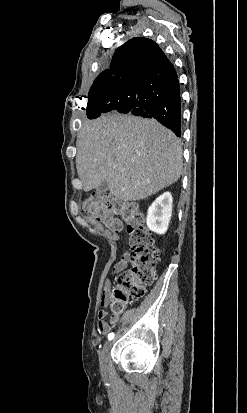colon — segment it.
<instances>
[{
  "label": "colon",
  "mask_w": 247,
  "mask_h": 413,
  "mask_svg": "<svg viewBox=\"0 0 247 413\" xmlns=\"http://www.w3.org/2000/svg\"><path fill=\"white\" fill-rule=\"evenodd\" d=\"M87 214L108 230L116 234L126 224L133 265L122 270L119 285L114 289L110 309L114 314L122 313L129 303L140 300L146 287L155 279L154 269L158 255L154 239L144 224L138 204H127L110 195H96L84 203Z\"/></svg>",
  "instance_id": "obj_1"
}]
</instances>
